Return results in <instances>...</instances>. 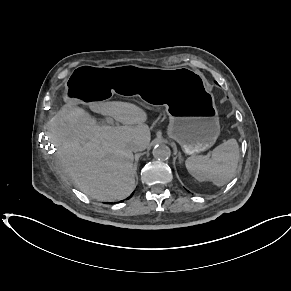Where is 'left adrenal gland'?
<instances>
[{
	"mask_svg": "<svg viewBox=\"0 0 291 291\" xmlns=\"http://www.w3.org/2000/svg\"><path fill=\"white\" fill-rule=\"evenodd\" d=\"M180 162L182 161L181 154L179 155Z\"/></svg>",
	"mask_w": 291,
	"mask_h": 291,
	"instance_id": "left-adrenal-gland-1",
	"label": "left adrenal gland"
}]
</instances>
